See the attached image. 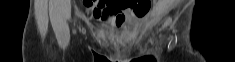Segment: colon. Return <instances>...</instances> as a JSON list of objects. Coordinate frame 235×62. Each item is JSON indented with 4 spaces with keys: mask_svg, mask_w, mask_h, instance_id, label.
<instances>
[{
    "mask_svg": "<svg viewBox=\"0 0 235 62\" xmlns=\"http://www.w3.org/2000/svg\"><path fill=\"white\" fill-rule=\"evenodd\" d=\"M129 2L132 3L133 1H129ZM146 8H147V3L144 2V3L142 4V9H143V10H146Z\"/></svg>",
    "mask_w": 235,
    "mask_h": 62,
    "instance_id": "obj_1",
    "label": "colon"
}]
</instances>
